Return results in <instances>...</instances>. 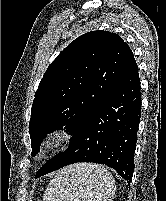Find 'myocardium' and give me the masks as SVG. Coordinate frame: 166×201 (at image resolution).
<instances>
[{"instance_id":"obj_1","label":"myocardium","mask_w":166,"mask_h":201,"mask_svg":"<svg viewBox=\"0 0 166 201\" xmlns=\"http://www.w3.org/2000/svg\"><path fill=\"white\" fill-rule=\"evenodd\" d=\"M69 140L67 133L61 129L49 132L42 143L45 152H53L63 148Z\"/></svg>"}]
</instances>
